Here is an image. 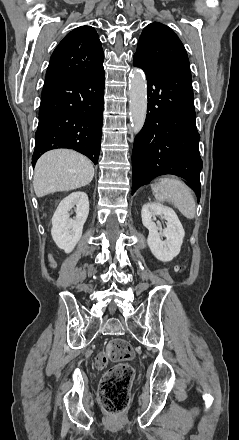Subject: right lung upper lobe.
<instances>
[{"instance_id":"cb5924a9","label":"right lung upper lobe","mask_w":239,"mask_h":440,"mask_svg":"<svg viewBox=\"0 0 239 440\" xmlns=\"http://www.w3.org/2000/svg\"><path fill=\"white\" fill-rule=\"evenodd\" d=\"M101 42L91 26H80L58 44L47 69L46 78L87 76L103 69Z\"/></svg>"}]
</instances>
